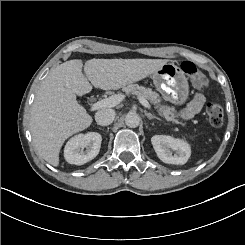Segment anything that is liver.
<instances>
[{
    "instance_id": "obj_1",
    "label": "liver",
    "mask_w": 245,
    "mask_h": 245,
    "mask_svg": "<svg viewBox=\"0 0 245 245\" xmlns=\"http://www.w3.org/2000/svg\"><path fill=\"white\" fill-rule=\"evenodd\" d=\"M168 60L91 59L66 61L52 69L41 83L30 117V131L39 155L53 166L59 164L64 141L88 128L92 117L78 104L82 96L95 88L117 90L153 74ZM91 84L89 83V81Z\"/></svg>"
}]
</instances>
